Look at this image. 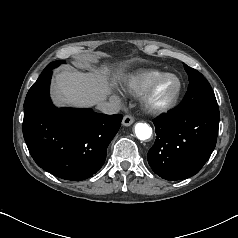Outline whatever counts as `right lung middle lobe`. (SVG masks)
Instances as JSON below:
<instances>
[{"label": "right lung middle lobe", "instance_id": "1", "mask_svg": "<svg viewBox=\"0 0 238 238\" xmlns=\"http://www.w3.org/2000/svg\"><path fill=\"white\" fill-rule=\"evenodd\" d=\"M63 63H65L64 60L54 61V62L50 63L48 66L56 67V66H58L60 64H63Z\"/></svg>", "mask_w": 238, "mask_h": 238}]
</instances>
